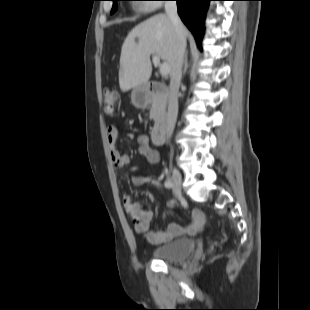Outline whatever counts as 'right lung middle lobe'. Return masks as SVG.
I'll list each match as a JSON object with an SVG mask.
<instances>
[{"instance_id": "dd1d6c3e", "label": "right lung middle lobe", "mask_w": 310, "mask_h": 310, "mask_svg": "<svg viewBox=\"0 0 310 310\" xmlns=\"http://www.w3.org/2000/svg\"><path fill=\"white\" fill-rule=\"evenodd\" d=\"M113 1V7H112V10H111V13H114L117 9V1L119 0H112Z\"/></svg>"}]
</instances>
